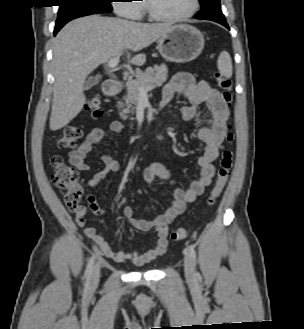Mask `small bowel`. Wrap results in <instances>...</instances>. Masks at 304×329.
<instances>
[{"label": "small bowel", "mask_w": 304, "mask_h": 329, "mask_svg": "<svg viewBox=\"0 0 304 329\" xmlns=\"http://www.w3.org/2000/svg\"><path fill=\"white\" fill-rule=\"evenodd\" d=\"M177 94H182L189 101V105L180 108L181 117L185 121L193 120L197 115L199 106L201 104L206 105L207 119L197 132L198 138L206 145L203 154L198 158L199 178L192 181L187 189L177 188L166 212L153 219L140 220L134 217V211L131 207L127 206L123 209V216L129 226L139 231L151 229L156 231L157 240L154 247L147 252L115 251L94 228L85 227L84 233L99 247L101 254L115 262L130 261L135 265H141L163 254L168 245L167 236L170 223L184 211L187 203L195 201L204 192L215 175L214 162L219 158L223 148L227 134V121L230 117V111L223 95L214 89L209 82H196L192 75L185 72L177 73L165 87L162 105L169 104ZM123 130L124 124L118 120L112 121L106 128L92 130L85 141L77 149L70 152V163L80 171H88L90 166L87 163V157L94 146L112 134L120 133ZM103 162L105 164L104 169L89 179V187L98 188L107 175L120 169L119 162L111 156L104 155ZM143 177L146 184L152 187L157 179L169 180L171 175L164 165L151 163L145 168ZM87 203L94 214H103V210L99 207L94 195L87 196ZM74 213L78 226L84 227L86 225L85 208L82 206L80 210Z\"/></svg>", "instance_id": "small-bowel-1"}]
</instances>
